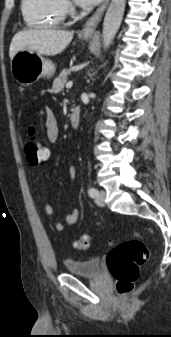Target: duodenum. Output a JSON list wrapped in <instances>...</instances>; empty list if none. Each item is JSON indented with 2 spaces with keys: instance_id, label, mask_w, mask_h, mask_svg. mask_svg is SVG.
I'll return each mask as SVG.
<instances>
[{
  "instance_id": "duodenum-1",
  "label": "duodenum",
  "mask_w": 171,
  "mask_h": 337,
  "mask_svg": "<svg viewBox=\"0 0 171 337\" xmlns=\"http://www.w3.org/2000/svg\"><path fill=\"white\" fill-rule=\"evenodd\" d=\"M70 122L73 128H77L80 124V109L79 107H74L71 111Z\"/></svg>"
}]
</instances>
